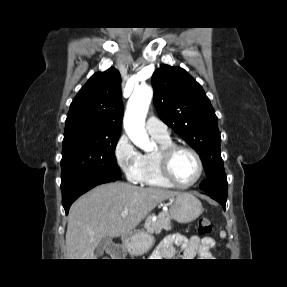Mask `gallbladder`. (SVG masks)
Returning a JSON list of instances; mask_svg holds the SVG:
<instances>
[{
  "label": "gallbladder",
  "mask_w": 287,
  "mask_h": 287,
  "mask_svg": "<svg viewBox=\"0 0 287 287\" xmlns=\"http://www.w3.org/2000/svg\"><path fill=\"white\" fill-rule=\"evenodd\" d=\"M112 238L108 235H105L98 243L96 247V254L98 256L102 255L105 248L111 243Z\"/></svg>",
  "instance_id": "obj_1"
}]
</instances>
